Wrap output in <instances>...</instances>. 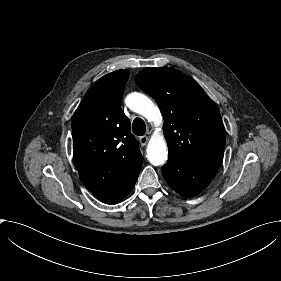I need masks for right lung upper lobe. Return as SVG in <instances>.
<instances>
[{
    "label": "right lung upper lobe",
    "instance_id": "1",
    "mask_svg": "<svg viewBox=\"0 0 281 281\" xmlns=\"http://www.w3.org/2000/svg\"><path fill=\"white\" fill-rule=\"evenodd\" d=\"M128 70L99 79L85 94L72 119L74 164L95 196L111 188L142 157L121 110Z\"/></svg>",
    "mask_w": 281,
    "mask_h": 281
}]
</instances>
